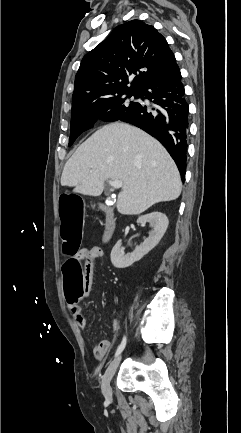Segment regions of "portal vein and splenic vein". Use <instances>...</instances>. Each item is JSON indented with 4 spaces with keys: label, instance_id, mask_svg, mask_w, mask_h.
I'll return each mask as SVG.
<instances>
[{
    "label": "portal vein and splenic vein",
    "instance_id": "18ae733b",
    "mask_svg": "<svg viewBox=\"0 0 241 433\" xmlns=\"http://www.w3.org/2000/svg\"><path fill=\"white\" fill-rule=\"evenodd\" d=\"M109 184L114 189H119L123 186V183L120 180H109Z\"/></svg>",
    "mask_w": 241,
    "mask_h": 433
}]
</instances>
